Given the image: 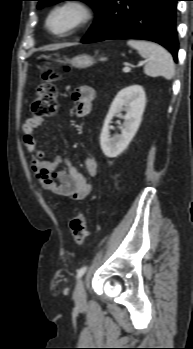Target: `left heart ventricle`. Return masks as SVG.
Segmentation results:
<instances>
[{"mask_svg": "<svg viewBox=\"0 0 193 349\" xmlns=\"http://www.w3.org/2000/svg\"><path fill=\"white\" fill-rule=\"evenodd\" d=\"M80 17L76 8H64L56 11L49 21V26L54 32L69 29Z\"/></svg>", "mask_w": 193, "mask_h": 349, "instance_id": "1", "label": "left heart ventricle"}]
</instances>
